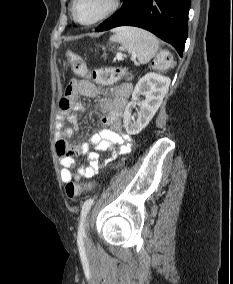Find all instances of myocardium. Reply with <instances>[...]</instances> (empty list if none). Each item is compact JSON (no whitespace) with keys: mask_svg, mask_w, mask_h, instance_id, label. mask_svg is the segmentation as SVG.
<instances>
[{"mask_svg":"<svg viewBox=\"0 0 233 284\" xmlns=\"http://www.w3.org/2000/svg\"><path fill=\"white\" fill-rule=\"evenodd\" d=\"M78 1L79 0H73L72 1L71 14H72L74 21L76 23L80 24V25H83V26H93L95 24L102 22L103 20H105L108 17H110L111 15H113L120 8V5H121V0H110L108 7L106 8V10L101 15H99L97 18H95L92 21L83 22V21H80L76 16V5H77Z\"/></svg>","mask_w":233,"mask_h":284,"instance_id":"f54148a6","label":"myocardium"}]
</instances>
